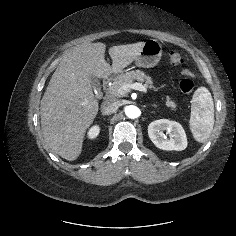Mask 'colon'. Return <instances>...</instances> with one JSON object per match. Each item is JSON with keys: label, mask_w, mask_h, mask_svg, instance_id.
Segmentation results:
<instances>
[{"label": "colon", "mask_w": 236, "mask_h": 236, "mask_svg": "<svg viewBox=\"0 0 236 236\" xmlns=\"http://www.w3.org/2000/svg\"><path fill=\"white\" fill-rule=\"evenodd\" d=\"M168 58H169V61L172 65L180 66V65L184 64V56L179 51H176V50L170 51ZM182 75H183V77L179 82V89L181 90L182 93L189 94L193 91L194 82L189 77V73L187 70H183Z\"/></svg>", "instance_id": "5ec220e1"}]
</instances>
